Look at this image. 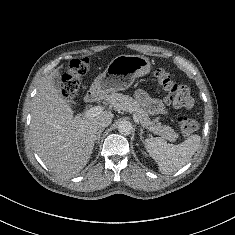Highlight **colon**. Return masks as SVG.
Masks as SVG:
<instances>
[{"mask_svg":"<svg viewBox=\"0 0 235 235\" xmlns=\"http://www.w3.org/2000/svg\"><path fill=\"white\" fill-rule=\"evenodd\" d=\"M88 67L89 61L86 58H78L70 62L62 78L65 96L71 97L77 92L80 77L87 72ZM154 76L158 86L166 94L167 100L174 107L192 109L196 106V100L186 85L174 82L170 75L163 69H158ZM177 123L180 132L186 136L191 135L198 128L197 121L187 115L179 116Z\"/></svg>","mask_w":235,"mask_h":235,"instance_id":"5ec220e1","label":"colon"}]
</instances>
